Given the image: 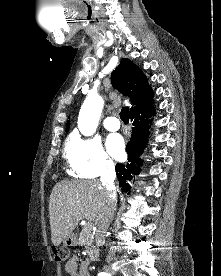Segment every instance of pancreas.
Listing matches in <instances>:
<instances>
[{
  "mask_svg": "<svg viewBox=\"0 0 221 276\" xmlns=\"http://www.w3.org/2000/svg\"><path fill=\"white\" fill-rule=\"evenodd\" d=\"M93 242L94 240L91 227L85 226L79 235L77 244L80 246H85L88 249L89 247H92Z\"/></svg>",
  "mask_w": 221,
  "mask_h": 276,
  "instance_id": "obj_1",
  "label": "pancreas"
}]
</instances>
